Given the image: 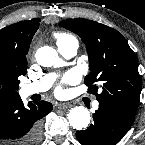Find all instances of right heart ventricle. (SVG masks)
I'll return each mask as SVG.
<instances>
[{
	"label": "right heart ventricle",
	"mask_w": 145,
	"mask_h": 145,
	"mask_svg": "<svg viewBox=\"0 0 145 145\" xmlns=\"http://www.w3.org/2000/svg\"><path fill=\"white\" fill-rule=\"evenodd\" d=\"M55 38L57 40V43L61 42V41H66L69 39H75L73 36L66 34V33H56Z\"/></svg>",
	"instance_id": "obj_1"
}]
</instances>
